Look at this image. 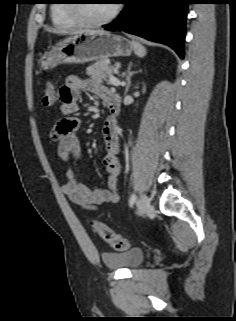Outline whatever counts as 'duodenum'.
Returning <instances> with one entry per match:
<instances>
[{
  "label": "duodenum",
  "mask_w": 236,
  "mask_h": 321,
  "mask_svg": "<svg viewBox=\"0 0 236 321\" xmlns=\"http://www.w3.org/2000/svg\"><path fill=\"white\" fill-rule=\"evenodd\" d=\"M108 108L112 116H118L121 111V100L120 97L116 94H112L108 100Z\"/></svg>",
  "instance_id": "duodenum-1"
}]
</instances>
